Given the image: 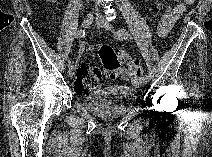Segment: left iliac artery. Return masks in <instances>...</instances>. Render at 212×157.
<instances>
[{
    "instance_id": "44dca946",
    "label": "left iliac artery",
    "mask_w": 212,
    "mask_h": 157,
    "mask_svg": "<svg viewBox=\"0 0 212 157\" xmlns=\"http://www.w3.org/2000/svg\"><path fill=\"white\" fill-rule=\"evenodd\" d=\"M115 37L117 38V39H121V40H123V39H128V37H129V34H128V31L126 30V29H119L116 33H115ZM143 79L146 81V82H148V81H150L151 80V77L147 74V73H145L144 75H143Z\"/></svg>"
}]
</instances>
